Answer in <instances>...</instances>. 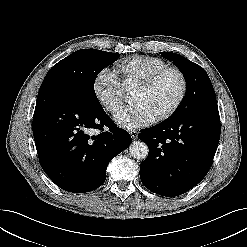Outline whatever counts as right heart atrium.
<instances>
[{"label": "right heart atrium", "mask_w": 247, "mask_h": 247, "mask_svg": "<svg viewBox=\"0 0 247 247\" xmlns=\"http://www.w3.org/2000/svg\"><path fill=\"white\" fill-rule=\"evenodd\" d=\"M93 93L108 112H114L123 101V92L119 79L107 68L101 69L93 82Z\"/></svg>", "instance_id": "right-heart-atrium-1"}]
</instances>
